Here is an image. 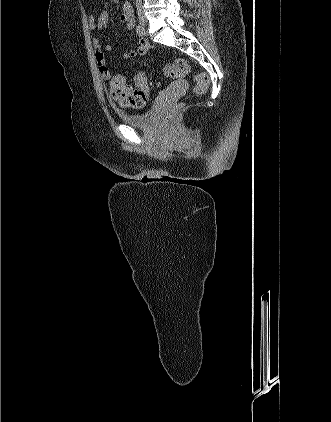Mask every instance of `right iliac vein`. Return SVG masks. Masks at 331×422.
Wrapping results in <instances>:
<instances>
[{"label":"right iliac vein","instance_id":"63e3f726","mask_svg":"<svg viewBox=\"0 0 331 422\" xmlns=\"http://www.w3.org/2000/svg\"><path fill=\"white\" fill-rule=\"evenodd\" d=\"M140 22L142 25H145V19L143 17H140Z\"/></svg>","mask_w":331,"mask_h":422}]
</instances>
